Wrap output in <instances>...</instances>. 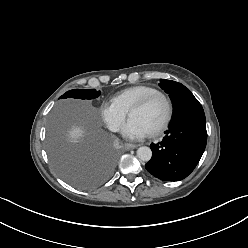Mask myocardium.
<instances>
[{
    "mask_svg": "<svg viewBox=\"0 0 248 248\" xmlns=\"http://www.w3.org/2000/svg\"><path fill=\"white\" fill-rule=\"evenodd\" d=\"M156 99H161L164 102L165 114L161 122L155 128H153L152 130L148 132L150 136L159 135L168 127L172 119V116H173V104L170 98L165 93L161 91H157L137 101L135 104L131 106V108L128 111V115L130 117V114L133 111L146 108L149 104H151Z\"/></svg>",
    "mask_w": 248,
    "mask_h": 248,
    "instance_id": "obj_1",
    "label": "myocardium"
}]
</instances>
